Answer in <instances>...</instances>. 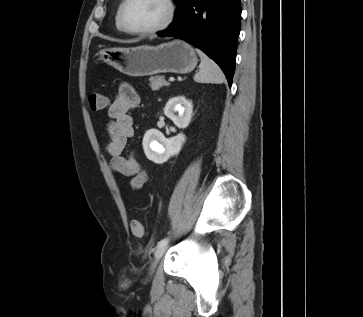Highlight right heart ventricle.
Listing matches in <instances>:
<instances>
[{"mask_svg":"<svg viewBox=\"0 0 363 317\" xmlns=\"http://www.w3.org/2000/svg\"><path fill=\"white\" fill-rule=\"evenodd\" d=\"M118 10H119V7H118V9L116 11V14H115V25H116L117 30L122 31V29H121V27L119 25V22H118Z\"/></svg>","mask_w":363,"mask_h":317,"instance_id":"1","label":"right heart ventricle"}]
</instances>
